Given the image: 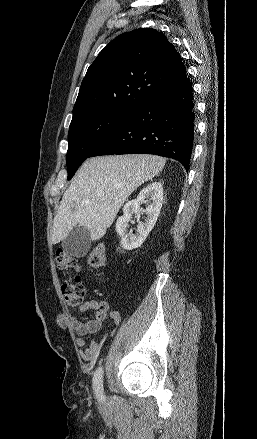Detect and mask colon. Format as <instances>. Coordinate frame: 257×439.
I'll use <instances>...</instances> for the list:
<instances>
[{
  "mask_svg": "<svg viewBox=\"0 0 257 439\" xmlns=\"http://www.w3.org/2000/svg\"><path fill=\"white\" fill-rule=\"evenodd\" d=\"M56 265L63 271H78L79 265L76 258L67 251L59 249L55 257ZM105 262V249L103 245H97L89 254L88 264L99 269ZM62 294L67 305L71 308H77L83 301L86 290L78 275L68 277L62 287Z\"/></svg>",
  "mask_w": 257,
  "mask_h": 439,
  "instance_id": "colon-1",
  "label": "colon"
}]
</instances>
